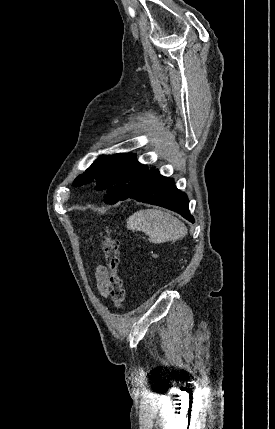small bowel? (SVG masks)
<instances>
[{
    "instance_id": "c3829d8e",
    "label": "small bowel",
    "mask_w": 275,
    "mask_h": 429,
    "mask_svg": "<svg viewBox=\"0 0 275 429\" xmlns=\"http://www.w3.org/2000/svg\"><path fill=\"white\" fill-rule=\"evenodd\" d=\"M108 276V270L104 266H98L96 268L95 277L97 281V287L103 297H107L109 294Z\"/></svg>"
}]
</instances>
